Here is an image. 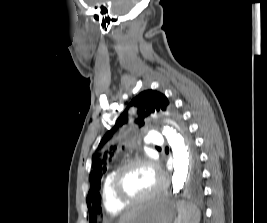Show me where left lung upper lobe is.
I'll return each mask as SVG.
<instances>
[{"instance_id":"left-lung-upper-lobe-1","label":"left lung upper lobe","mask_w":267,"mask_h":223,"mask_svg":"<svg viewBox=\"0 0 267 223\" xmlns=\"http://www.w3.org/2000/svg\"><path fill=\"white\" fill-rule=\"evenodd\" d=\"M137 107L138 117L135 119V123L140 127L144 125L143 119L155 111H163L171 116H175L173 103L162 93L156 90H146L137 95L127 106L126 110L117 119L115 126L109 130L102 138L99 147L103 146L114 134V132L123 124L127 123L128 115L127 110L129 107ZM184 135L186 130L182 124H180ZM187 145L189 149L190 168L189 171H200L198 156L194 150V144L191 140L187 139ZM111 159V152L105 151L103 153H95L92 156V171L89 175L91 183V189L87 195V206L89 214H92L90 222L95 221L96 214H106L105 206H101L100 200V182L103 174L106 172V166Z\"/></svg>"}]
</instances>
